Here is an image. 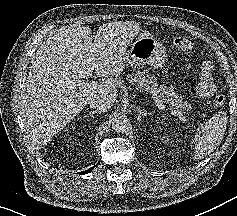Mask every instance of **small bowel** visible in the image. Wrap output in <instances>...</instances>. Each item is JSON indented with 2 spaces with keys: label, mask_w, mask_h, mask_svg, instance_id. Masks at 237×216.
<instances>
[{
  "label": "small bowel",
  "mask_w": 237,
  "mask_h": 216,
  "mask_svg": "<svg viewBox=\"0 0 237 216\" xmlns=\"http://www.w3.org/2000/svg\"><path fill=\"white\" fill-rule=\"evenodd\" d=\"M212 68L210 62H204L201 65V82L197 86V93L200 97L208 98L212 96L215 91V85L211 77Z\"/></svg>",
  "instance_id": "obj_1"
}]
</instances>
